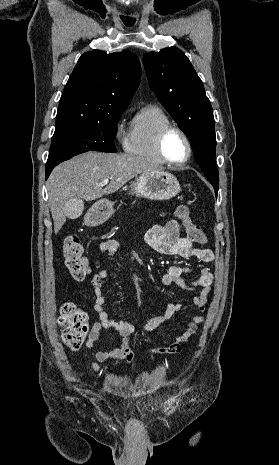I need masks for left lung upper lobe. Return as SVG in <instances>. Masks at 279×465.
Returning <instances> with one entry per match:
<instances>
[{
	"label": "left lung upper lobe",
	"instance_id": "5c2ea615",
	"mask_svg": "<svg viewBox=\"0 0 279 465\" xmlns=\"http://www.w3.org/2000/svg\"><path fill=\"white\" fill-rule=\"evenodd\" d=\"M144 66L150 88L187 135L197 163L217 194L215 124L201 79L177 47L146 54Z\"/></svg>",
	"mask_w": 279,
	"mask_h": 465
}]
</instances>
